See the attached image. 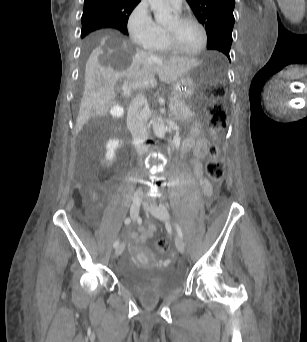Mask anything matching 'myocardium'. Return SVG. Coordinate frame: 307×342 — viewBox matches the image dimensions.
Returning <instances> with one entry per match:
<instances>
[{"label":"myocardium","instance_id":"myocardium-1","mask_svg":"<svg viewBox=\"0 0 307 342\" xmlns=\"http://www.w3.org/2000/svg\"><path fill=\"white\" fill-rule=\"evenodd\" d=\"M177 21L179 23H184V22H188V21H192V22L197 23L199 25V27L201 28L202 33H203L202 44L200 45L199 48H197L196 50H193V51L181 50L173 44L171 39L166 34H163L162 44H163L164 49L168 53L173 54V55H177V56L195 57V56H199L200 54H202L207 49V47L209 45V31H208V28H207V25L205 24V22L203 20H201L199 17L192 15V14H185V15L178 16Z\"/></svg>","mask_w":307,"mask_h":342}]
</instances>
